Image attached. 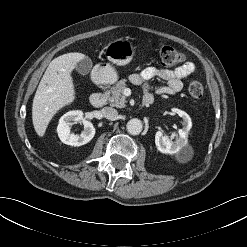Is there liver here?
Returning a JSON list of instances; mask_svg holds the SVG:
<instances>
[{
	"label": "liver",
	"instance_id": "liver-1",
	"mask_svg": "<svg viewBox=\"0 0 247 247\" xmlns=\"http://www.w3.org/2000/svg\"><path fill=\"white\" fill-rule=\"evenodd\" d=\"M82 53L72 52L53 59L46 69L32 104V121L38 136H44L53 116L75 100L72 71L84 59Z\"/></svg>",
	"mask_w": 247,
	"mask_h": 247
}]
</instances>
